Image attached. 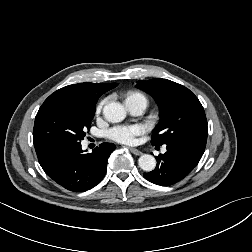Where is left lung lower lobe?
Returning <instances> with one entry per match:
<instances>
[{
    "label": "left lung lower lobe",
    "instance_id": "0a47b994",
    "mask_svg": "<svg viewBox=\"0 0 252 252\" xmlns=\"http://www.w3.org/2000/svg\"><path fill=\"white\" fill-rule=\"evenodd\" d=\"M206 143L185 139L166 144L167 152L156 157V168L144 177L152 183L170 186L185 178L198 164Z\"/></svg>",
    "mask_w": 252,
    "mask_h": 252
}]
</instances>
